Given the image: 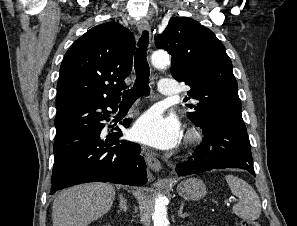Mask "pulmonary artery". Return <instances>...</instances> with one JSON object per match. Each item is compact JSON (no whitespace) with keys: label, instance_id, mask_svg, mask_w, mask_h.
<instances>
[{"label":"pulmonary artery","instance_id":"obj_1","mask_svg":"<svg viewBox=\"0 0 297 226\" xmlns=\"http://www.w3.org/2000/svg\"><path fill=\"white\" fill-rule=\"evenodd\" d=\"M158 90L165 96H177L179 89L174 79H162L159 81Z\"/></svg>","mask_w":297,"mask_h":226}]
</instances>
